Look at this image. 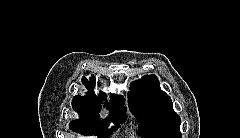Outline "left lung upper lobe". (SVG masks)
I'll return each instance as SVG.
<instances>
[{
	"instance_id": "left-lung-upper-lobe-1",
	"label": "left lung upper lobe",
	"mask_w": 240,
	"mask_h": 138,
	"mask_svg": "<svg viewBox=\"0 0 240 138\" xmlns=\"http://www.w3.org/2000/svg\"><path fill=\"white\" fill-rule=\"evenodd\" d=\"M129 109L139 127L149 138H182L180 117L174 112L171 98L160 89L155 75L143 76L131 84Z\"/></svg>"
}]
</instances>
